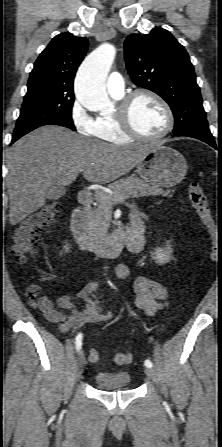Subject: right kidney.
<instances>
[{"instance_id": "ca27d5eb", "label": "right kidney", "mask_w": 222, "mask_h": 447, "mask_svg": "<svg viewBox=\"0 0 222 447\" xmlns=\"http://www.w3.org/2000/svg\"><path fill=\"white\" fill-rule=\"evenodd\" d=\"M64 249H65V252H68V251H69V247H68V245H65V246H64Z\"/></svg>"}]
</instances>
